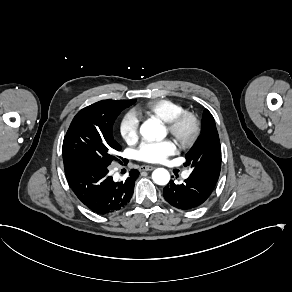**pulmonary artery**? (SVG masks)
<instances>
[{
  "label": "pulmonary artery",
  "mask_w": 292,
  "mask_h": 292,
  "mask_svg": "<svg viewBox=\"0 0 292 292\" xmlns=\"http://www.w3.org/2000/svg\"><path fill=\"white\" fill-rule=\"evenodd\" d=\"M190 174H191V171L188 170V171H186V172L184 173V177L187 178V177H189Z\"/></svg>",
  "instance_id": "e3ab8cb5"
}]
</instances>
